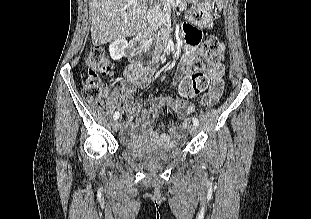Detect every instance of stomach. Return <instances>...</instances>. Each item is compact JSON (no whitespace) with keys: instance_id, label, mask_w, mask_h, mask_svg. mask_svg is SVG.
I'll return each instance as SVG.
<instances>
[{"instance_id":"1","label":"stomach","mask_w":311,"mask_h":219,"mask_svg":"<svg viewBox=\"0 0 311 219\" xmlns=\"http://www.w3.org/2000/svg\"><path fill=\"white\" fill-rule=\"evenodd\" d=\"M193 4V9L186 14L187 19L193 24L206 28L213 22L210 0H188Z\"/></svg>"}]
</instances>
